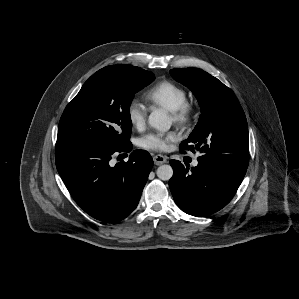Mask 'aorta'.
<instances>
[{"label": "aorta", "mask_w": 299, "mask_h": 299, "mask_svg": "<svg viewBox=\"0 0 299 299\" xmlns=\"http://www.w3.org/2000/svg\"><path fill=\"white\" fill-rule=\"evenodd\" d=\"M148 123L151 127L166 132L171 127V120L164 110L158 109L151 112L148 117ZM157 177L161 180H169L173 176V169L170 165H161L156 171Z\"/></svg>", "instance_id": "obj_1"}]
</instances>
